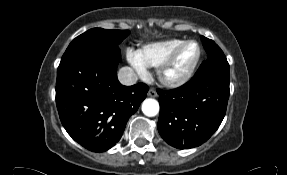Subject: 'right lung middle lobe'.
Instances as JSON below:
<instances>
[{"instance_id": "dd1d6c3e", "label": "right lung middle lobe", "mask_w": 287, "mask_h": 175, "mask_svg": "<svg viewBox=\"0 0 287 175\" xmlns=\"http://www.w3.org/2000/svg\"><path fill=\"white\" fill-rule=\"evenodd\" d=\"M128 30L93 28L76 37L68 46L60 64L87 54L104 53L120 60L118 44L128 35Z\"/></svg>"}]
</instances>
